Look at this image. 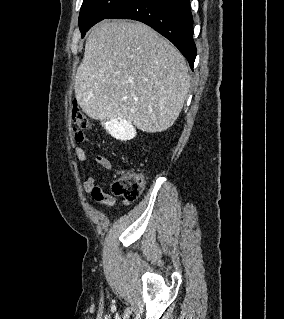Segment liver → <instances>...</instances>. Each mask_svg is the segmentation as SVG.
Returning <instances> with one entry per match:
<instances>
[{
  "instance_id": "liver-1",
  "label": "liver",
  "mask_w": 284,
  "mask_h": 319,
  "mask_svg": "<svg viewBox=\"0 0 284 319\" xmlns=\"http://www.w3.org/2000/svg\"><path fill=\"white\" fill-rule=\"evenodd\" d=\"M190 88L185 58L140 22L102 21L90 32L75 97L93 119L126 120L143 132L170 128Z\"/></svg>"
}]
</instances>
